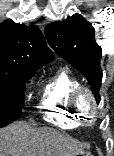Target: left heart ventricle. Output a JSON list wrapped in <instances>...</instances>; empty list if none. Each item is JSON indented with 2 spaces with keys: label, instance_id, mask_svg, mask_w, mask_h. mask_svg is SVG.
I'll list each match as a JSON object with an SVG mask.
<instances>
[{
  "label": "left heart ventricle",
  "instance_id": "b2bd125f",
  "mask_svg": "<svg viewBox=\"0 0 114 156\" xmlns=\"http://www.w3.org/2000/svg\"><path fill=\"white\" fill-rule=\"evenodd\" d=\"M79 104H80V107L85 110L87 113L90 112V109H91V102H90V99L88 96L86 95H83L81 96L80 100H79Z\"/></svg>",
  "mask_w": 114,
  "mask_h": 156
}]
</instances>
